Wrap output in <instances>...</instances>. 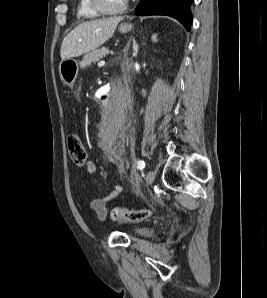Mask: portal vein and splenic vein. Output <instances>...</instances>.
Masks as SVG:
<instances>
[{"label": "portal vein and splenic vein", "mask_w": 267, "mask_h": 298, "mask_svg": "<svg viewBox=\"0 0 267 298\" xmlns=\"http://www.w3.org/2000/svg\"><path fill=\"white\" fill-rule=\"evenodd\" d=\"M101 65H102V62H99V63H98V66H101Z\"/></svg>", "instance_id": "18ae733b"}]
</instances>
